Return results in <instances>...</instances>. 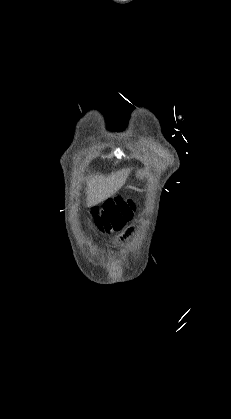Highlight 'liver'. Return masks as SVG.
Masks as SVG:
<instances>
[{
  "mask_svg": "<svg viewBox=\"0 0 231 419\" xmlns=\"http://www.w3.org/2000/svg\"><path fill=\"white\" fill-rule=\"evenodd\" d=\"M130 169H122L105 177L102 175L90 178L87 188L89 205L103 202L114 195L126 182Z\"/></svg>",
  "mask_w": 231,
  "mask_h": 419,
  "instance_id": "obj_1",
  "label": "liver"
}]
</instances>
